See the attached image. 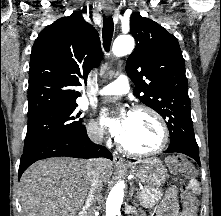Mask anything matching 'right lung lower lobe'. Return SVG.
<instances>
[{
  "label": "right lung lower lobe",
  "mask_w": 221,
  "mask_h": 216,
  "mask_svg": "<svg viewBox=\"0 0 221 216\" xmlns=\"http://www.w3.org/2000/svg\"><path fill=\"white\" fill-rule=\"evenodd\" d=\"M58 156L75 158L105 157L112 160V154L104 146L97 145L88 138L86 128L83 126L74 133L54 138L23 152L19 165L18 178L20 179L23 172L34 162Z\"/></svg>",
  "instance_id": "right-lung-lower-lobe-1"
}]
</instances>
